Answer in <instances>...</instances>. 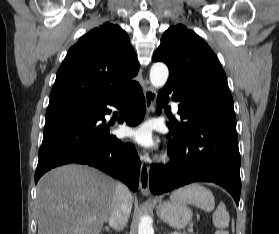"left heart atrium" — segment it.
<instances>
[{"mask_svg": "<svg viewBox=\"0 0 279 234\" xmlns=\"http://www.w3.org/2000/svg\"><path fill=\"white\" fill-rule=\"evenodd\" d=\"M128 135L140 145L150 147L153 146L152 130L149 124H141L138 127L128 130Z\"/></svg>", "mask_w": 279, "mask_h": 234, "instance_id": "left-heart-atrium-1", "label": "left heart atrium"}]
</instances>
